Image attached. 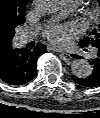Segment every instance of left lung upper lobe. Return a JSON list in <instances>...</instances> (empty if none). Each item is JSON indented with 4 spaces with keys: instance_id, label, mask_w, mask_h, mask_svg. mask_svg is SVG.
Instances as JSON below:
<instances>
[{
    "instance_id": "1",
    "label": "left lung upper lobe",
    "mask_w": 100,
    "mask_h": 118,
    "mask_svg": "<svg viewBox=\"0 0 100 118\" xmlns=\"http://www.w3.org/2000/svg\"><path fill=\"white\" fill-rule=\"evenodd\" d=\"M79 45L81 47L92 46L95 48H99L100 47V25L99 28L94 29L88 37H85L82 40H80Z\"/></svg>"
}]
</instances>
